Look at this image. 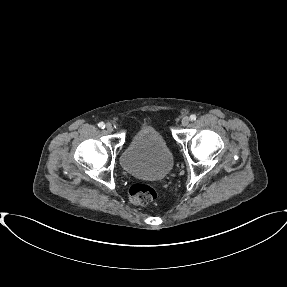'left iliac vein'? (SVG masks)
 Wrapping results in <instances>:
<instances>
[{
    "label": "left iliac vein",
    "mask_w": 287,
    "mask_h": 287,
    "mask_svg": "<svg viewBox=\"0 0 287 287\" xmlns=\"http://www.w3.org/2000/svg\"><path fill=\"white\" fill-rule=\"evenodd\" d=\"M189 122H190L189 117H184L181 121V124H182V126L186 127V126H188Z\"/></svg>",
    "instance_id": "left-iliac-vein-1"
}]
</instances>
